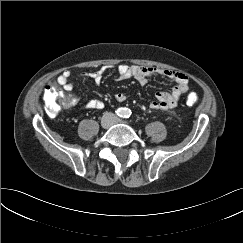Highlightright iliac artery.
<instances>
[{
  "label": "right iliac artery",
  "instance_id": "1",
  "mask_svg": "<svg viewBox=\"0 0 243 243\" xmlns=\"http://www.w3.org/2000/svg\"><path fill=\"white\" fill-rule=\"evenodd\" d=\"M116 114H117L119 117H124V115H125V110H124V108H119V109H117Z\"/></svg>",
  "mask_w": 243,
  "mask_h": 243
}]
</instances>
